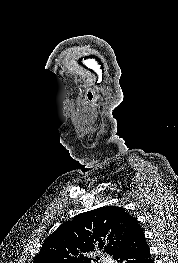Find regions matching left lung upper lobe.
I'll return each instance as SVG.
<instances>
[{
  "label": "left lung upper lobe",
  "mask_w": 178,
  "mask_h": 263,
  "mask_svg": "<svg viewBox=\"0 0 178 263\" xmlns=\"http://www.w3.org/2000/svg\"><path fill=\"white\" fill-rule=\"evenodd\" d=\"M133 216L116 206L79 214L47 237L33 263H91L96 249L114 256Z\"/></svg>",
  "instance_id": "left-lung-upper-lobe-1"
}]
</instances>
